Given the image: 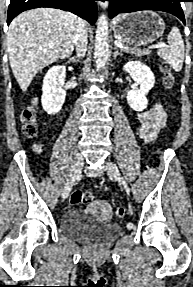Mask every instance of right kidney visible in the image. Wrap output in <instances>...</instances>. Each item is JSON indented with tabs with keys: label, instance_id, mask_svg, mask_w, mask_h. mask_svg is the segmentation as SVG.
<instances>
[{
	"label": "right kidney",
	"instance_id": "ca27d5eb",
	"mask_svg": "<svg viewBox=\"0 0 193 287\" xmlns=\"http://www.w3.org/2000/svg\"><path fill=\"white\" fill-rule=\"evenodd\" d=\"M67 70L72 71L73 68H66L64 65L53 66L43 79L41 103L49 115L57 114L64 104L66 96L64 82Z\"/></svg>",
	"mask_w": 193,
	"mask_h": 287
}]
</instances>
